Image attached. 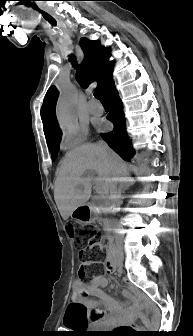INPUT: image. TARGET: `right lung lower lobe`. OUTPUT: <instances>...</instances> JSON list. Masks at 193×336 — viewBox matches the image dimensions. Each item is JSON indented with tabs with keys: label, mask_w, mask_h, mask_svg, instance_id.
<instances>
[{
	"label": "right lung lower lobe",
	"mask_w": 193,
	"mask_h": 336,
	"mask_svg": "<svg viewBox=\"0 0 193 336\" xmlns=\"http://www.w3.org/2000/svg\"><path fill=\"white\" fill-rule=\"evenodd\" d=\"M104 95L111 105V112L108 114L107 119L114 123V129L109 133L101 134L102 139L124 160L130 162L134 155V150L126 133L123 104L119 98L114 81L110 82L107 86Z\"/></svg>",
	"instance_id": "98d812e1"
}]
</instances>
